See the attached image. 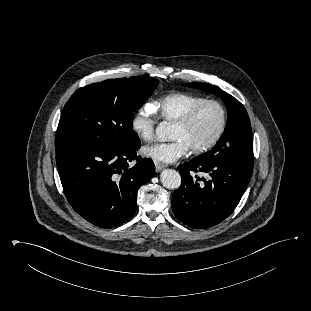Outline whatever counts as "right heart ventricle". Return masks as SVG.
I'll list each match as a JSON object with an SVG mask.
<instances>
[{
	"label": "right heart ventricle",
	"instance_id": "right-heart-ventricle-1",
	"mask_svg": "<svg viewBox=\"0 0 311 311\" xmlns=\"http://www.w3.org/2000/svg\"><path fill=\"white\" fill-rule=\"evenodd\" d=\"M204 100L205 98L202 96L176 92L159 98L152 105L154 111L158 112L164 121L174 123Z\"/></svg>",
	"mask_w": 311,
	"mask_h": 311
}]
</instances>
